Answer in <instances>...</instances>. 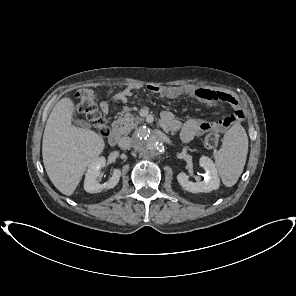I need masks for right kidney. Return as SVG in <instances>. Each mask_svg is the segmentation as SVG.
Masks as SVG:
<instances>
[{
  "instance_id": "obj_1",
  "label": "right kidney",
  "mask_w": 296,
  "mask_h": 296,
  "mask_svg": "<svg viewBox=\"0 0 296 296\" xmlns=\"http://www.w3.org/2000/svg\"><path fill=\"white\" fill-rule=\"evenodd\" d=\"M106 164L105 157H97L88 167L85 180H84V189L88 193H98L102 190H108L114 188L121 177V170L114 169L112 177L105 183L101 184L98 181V178L101 174V168Z\"/></svg>"
}]
</instances>
